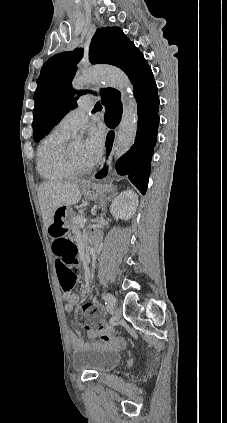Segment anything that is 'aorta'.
<instances>
[{
	"mask_svg": "<svg viewBox=\"0 0 227 423\" xmlns=\"http://www.w3.org/2000/svg\"><path fill=\"white\" fill-rule=\"evenodd\" d=\"M99 82H104L122 93L123 115L113 146L114 157L118 159L134 144L138 124L137 103L132 95V84L129 78L123 71L115 67H92L75 77L72 86L74 89L80 90L87 84Z\"/></svg>",
	"mask_w": 227,
	"mask_h": 423,
	"instance_id": "1",
	"label": "aorta"
}]
</instances>
